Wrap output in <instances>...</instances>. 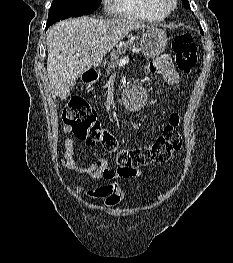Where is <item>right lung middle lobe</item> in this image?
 I'll return each mask as SVG.
<instances>
[{
    "label": "right lung middle lobe",
    "mask_w": 233,
    "mask_h": 263,
    "mask_svg": "<svg viewBox=\"0 0 233 263\" xmlns=\"http://www.w3.org/2000/svg\"><path fill=\"white\" fill-rule=\"evenodd\" d=\"M101 4V0H53L49 10L48 22L78 17L93 13Z\"/></svg>",
    "instance_id": "dd1d6c3e"
}]
</instances>
